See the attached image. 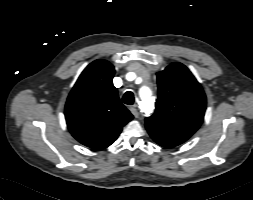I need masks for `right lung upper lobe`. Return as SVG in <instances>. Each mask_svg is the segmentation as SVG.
I'll list each match as a JSON object with an SVG mask.
<instances>
[{
	"label": "right lung upper lobe",
	"instance_id": "obj_1",
	"mask_svg": "<svg viewBox=\"0 0 253 200\" xmlns=\"http://www.w3.org/2000/svg\"><path fill=\"white\" fill-rule=\"evenodd\" d=\"M115 69L96 60L81 73L65 106L67 126L75 139L95 150L110 146L133 115L121 104L112 79Z\"/></svg>",
	"mask_w": 253,
	"mask_h": 200
}]
</instances>
